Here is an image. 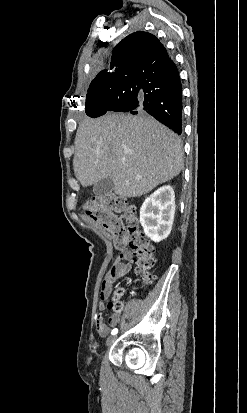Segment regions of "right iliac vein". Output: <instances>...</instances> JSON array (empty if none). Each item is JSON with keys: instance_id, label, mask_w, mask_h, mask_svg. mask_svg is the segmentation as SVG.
Instances as JSON below:
<instances>
[{"instance_id": "1", "label": "right iliac vein", "mask_w": 247, "mask_h": 413, "mask_svg": "<svg viewBox=\"0 0 247 413\" xmlns=\"http://www.w3.org/2000/svg\"><path fill=\"white\" fill-rule=\"evenodd\" d=\"M115 340H116V337L115 336H113V337H109L108 339H107V346H110V345H112L114 342H115Z\"/></svg>"}]
</instances>
